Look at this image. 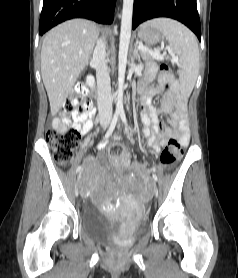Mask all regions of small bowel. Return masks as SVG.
Returning <instances> with one entry per match:
<instances>
[{"mask_svg":"<svg viewBox=\"0 0 238 278\" xmlns=\"http://www.w3.org/2000/svg\"><path fill=\"white\" fill-rule=\"evenodd\" d=\"M157 66L150 63L147 68L145 83L141 88L142 95L140 106L142 108L141 119L144 125L142 135L146 145L150 146L154 152L158 153L165 146L171 136L177 137L179 142L186 146L189 142V126L186 119V101L187 93L181 91L177 82L173 80L171 88L165 89L163 81L159 78V82L154 86H147L156 75ZM163 94L160 107L155 109L151 106L152 97ZM160 114H169V125L165 126L159 120ZM94 111L89 113L61 112L59 117L52 121L54 128L65 129L68 127L75 128L81 135L89 133L94 126ZM105 144H101L104 147ZM118 163L124 167H138V164H132L127 154L126 157Z\"/></svg>","mask_w":238,"mask_h":278,"instance_id":"obj_1","label":"small bowel"}]
</instances>
